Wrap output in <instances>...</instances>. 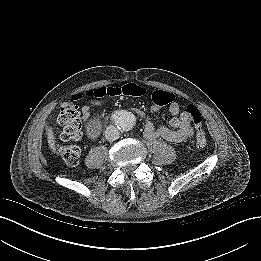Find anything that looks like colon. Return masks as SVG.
I'll return each instance as SVG.
<instances>
[{
    "label": "colon",
    "instance_id": "colon-1",
    "mask_svg": "<svg viewBox=\"0 0 261 261\" xmlns=\"http://www.w3.org/2000/svg\"><path fill=\"white\" fill-rule=\"evenodd\" d=\"M148 90L140 85L129 83L123 86L99 87L88 92L89 96L99 99H112L121 96L141 97ZM78 96L76 99L80 98ZM152 99L158 106L168 105L174 100V95L170 92L155 90L152 92ZM186 112L190 115L196 129L195 144L198 148H204L207 143L206 135L202 127V115L199 109L194 105H188ZM58 122L62 126L61 139L63 141H76L81 138L83 131V122L77 106L73 102L62 104L58 116ZM92 132H96V126H93ZM59 155L66 164L74 166L79 162L80 148L76 145H61L58 149Z\"/></svg>",
    "mask_w": 261,
    "mask_h": 261
}]
</instances>
